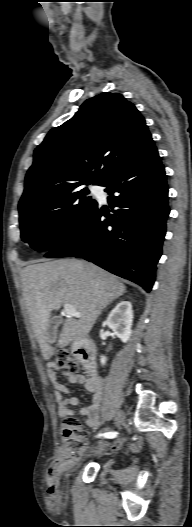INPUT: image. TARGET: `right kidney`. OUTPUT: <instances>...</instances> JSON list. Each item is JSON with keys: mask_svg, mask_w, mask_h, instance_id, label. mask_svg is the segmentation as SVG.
I'll return each mask as SVG.
<instances>
[{"mask_svg": "<svg viewBox=\"0 0 192 527\" xmlns=\"http://www.w3.org/2000/svg\"><path fill=\"white\" fill-rule=\"evenodd\" d=\"M133 321L132 305L129 301H122L110 312L106 323L122 342H127L131 336ZM106 358L101 357V364H105Z\"/></svg>", "mask_w": 192, "mask_h": 527, "instance_id": "ca27d5eb", "label": "right kidney"}]
</instances>
